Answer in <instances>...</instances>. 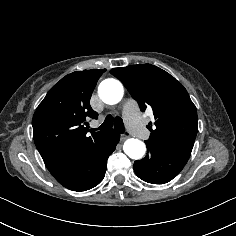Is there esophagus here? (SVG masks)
<instances>
[{"label": "esophagus", "mask_w": 236, "mask_h": 236, "mask_svg": "<svg viewBox=\"0 0 236 236\" xmlns=\"http://www.w3.org/2000/svg\"><path fill=\"white\" fill-rule=\"evenodd\" d=\"M130 136V134L128 133V132H124V133H121V135H120V139L122 140V141H124V140H126L128 137Z\"/></svg>", "instance_id": "34e87169"}]
</instances>
